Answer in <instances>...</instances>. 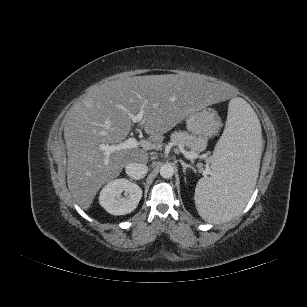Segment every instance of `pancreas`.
Masks as SVG:
<instances>
[{
    "label": "pancreas",
    "instance_id": "pancreas-1",
    "mask_svg": "<svg viewBox=\"0 0 307 307\" xmlns=\"http://www.w3.org/2000/svg\"><path fill=\"white\" fill-rule=\"evenodd\" d=\"M170 138L172 142L188 148L191 152H200L205 147V140L203 137H197L186 131H174Z\"/></svg>",
    "mask_w": 307,
    "mask_h": 307
}]
</instances>
